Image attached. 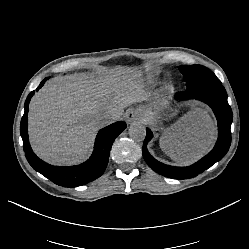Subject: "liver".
<instances>
[{
    "instance_id": "1",
    "label": "liver",
    "mask_w": 249,
    "mask_h": 249,
    "mask_svg": "<svg viewBox=\"0 0 249 249\" xmlns=\"http://www.w3.org/2000/svg\"><path fill=\"white\" fill-rule=\"evenodd\" d=\"M142 72L116 67L95 74L56 76L48 80L31 99L28 112L30 144L38 157L52 165H75L87 159L99 126L98 117L111 115L118 121L124 109L148 99ZM162 100L152 108L142 105L135 111L138 120L156 130ZM217 127L209 110L193 107L160 137L174 161L188 165L211 150Z\"/></svg>"
}]
</instances>
